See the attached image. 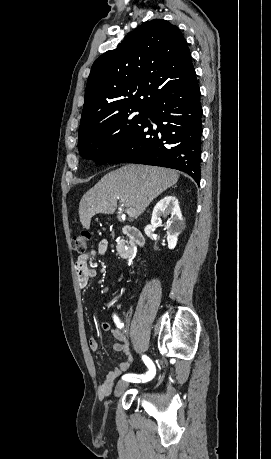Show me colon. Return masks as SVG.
<instances>
[{
  "mask_svg": "<svg viewBox=\"0 0 271 459\" xmlns=\"http://www.w3.org/2000/svg\"><path fill=\"white\" fill-rule=\"evenodd\" d=\"M91 234L88 231H80L72 239V248L77 253H84L87 249Z\"/></svg>",
  "mask_w": 271,
  "mask_h": 459,
  "instance_id": "obj_1",
  "label": "colon"
}]
</instances>
